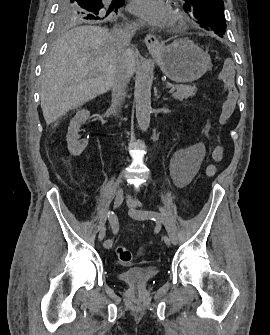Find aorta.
I'll return each mask as SVG.
<instances>
[{
    "label": "aorta",
    "mask_w": 270,
    "mask_h": 335,
    "mask_svg": "<svg viewBox=\"0 0 270 335\" xmlns=\"http://www.w3.org/2000/svg\"><path fill=\"white\" fill-rule=\"evenodd\" d=\"M151 86L149 68H142L141 72L137 74L134 98L138 126L143 132L148 130L150 124Z\"/></svg>",
    "instance_id": "1"
}]
</instances>
